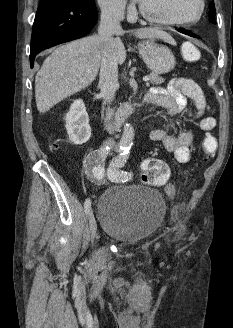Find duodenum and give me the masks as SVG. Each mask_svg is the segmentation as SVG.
Instances as JSON below:
<instances>
[{"mask_svg": "<svg viewBox=\"0 0 233 328\" xmlns=\"http://www.w3.org/2000/svg\"><path fill=\"white\" fill-rule=\"evenodd\" d=\"M149 102V97L146 95L141 101H130L123 106V116L127 117L130 115L137 107ZM103 122L105 127L110 131H115L119 127V122L116 121L110 113L105 112L103 114Z\"/></svg>", "mask_w": 233, "mask_h": 328, "instance_id": "obj_1", "label": "duodenum"}]
</instances>
